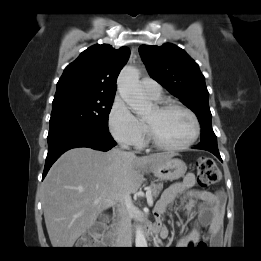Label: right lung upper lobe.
Segmentation results:
<instances>
[{
  "label": "right lung upper lobe",
  "instance_id": "right-lung-upper-lobe-1",
  "mask_svg": "<svg viewBox=\"0 0 261 261\" xmlns=\"http://www.w3.org/2000/svg\"><path fill=\"white\" fill-rule=\"evenodd\" d=\"M128 57L126 47L114 49L108 44L89 47L65 68L56 94L114 96L118 74Z\"/></svg>",
  "mask_w": 261,
  "mask_h": 261
}]
</instances>
